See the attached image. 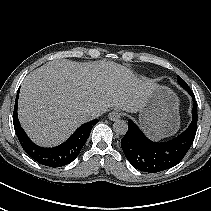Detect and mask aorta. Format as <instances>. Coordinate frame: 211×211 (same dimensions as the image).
<instances>
[{
    "label": "aorta",
    "instance_id": "aorta-1",
    "mask_svg": "<svg viewBox=\"0 0 211 211\" xmlns=\"http://www.w3.org/2000/svg\"><path fill=\"white\" fill-rule=\"evenodd\" d=\"M128 130V124L124 120H117L113 124V131L117 134L124 135Z\"/></svg>",
    "mask_w": 211,
    "mask_h": 211
}]
</instances>
